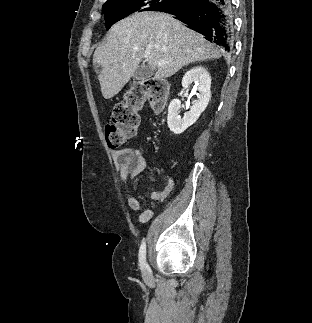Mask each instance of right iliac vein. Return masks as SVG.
Returning <instances> with one entry per match:
<instances>
[{
	"instance_id": "1",
	"label": "right iliac vein",
	"mask_w": 312,
	"mask_h": 323,
	"mask_svg": "<svg viewBox=\"0 0 312 323\" xmlns=\"http://www.w3.org/2000/svg\"><path fill=\"white\" fill-rule=\"evenodd\" d=\"M144 276L147 278L148 277V274H147V272L145 271L144 272Z\"/></svg>"
}]
</instances>
